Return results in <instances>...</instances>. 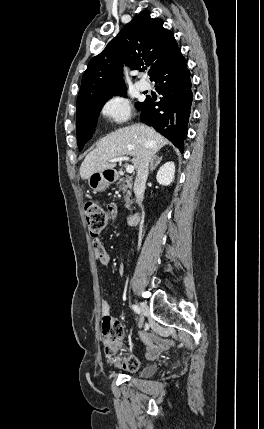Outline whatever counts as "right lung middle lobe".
<instances>
[{
    "label": "right lung middle lobe",
    "instance_id": "obj_1",
    "mask_svg": "<svg viewBox=\"0 0 264 429\" xmlns=\"http://www.w3.org/2000/svg\"><path fill=\"white\" fill-rule=\"evenodd\" d=\"M125 94V89L102 96L96 100L83 104L77 107L76 114V123H77V143L79 150H82L85 143L91 139L94 131L95 125L97 122V118L99 116V112L104 105V103L112 96V95H123ZM146 100L144 102H138L136 107L138 110H141L144 106Z\"/></svg>",
    "mask_w": 264,
    "mask_h": 429
}]
</instances>
